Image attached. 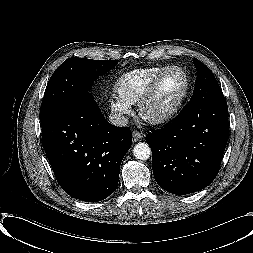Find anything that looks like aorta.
Wrapping results in <instances>:
<instances>
[{
  "label": "aorta",
  "mask_w": 253,
  "mask_h": 253,
  "mask_svg": "<svg viewBox=\"0 0 253 253\" xmlns=\"http://www.w3.org/2000/svg\"><path fill=\"white\" fill-rule=\"evenodd\" d=\"M133 155L139 160H147L151 155V148L147 143L140 142L135 145Z\"/></svg>",
  "instance_id": "obj_1"
}]
</instances>
